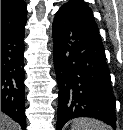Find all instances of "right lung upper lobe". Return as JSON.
I'll return each mask as SVG.
<instances>
[{
    "label": "right lung upper lobe",
    "mask_w": 123,
    "mask_h": 130,
    "mask_svg": "<svg viewBox=\"0 0 123 130\" xmlns=\"http://www.w3.org/2000/svg\"><path fill=\"white\" fill-rule=\"evenodd\" d=\"M27 22V8L23 0H1V28L17 27Z\"/></svg>",
    "instance_id": "obj_1"
}]
</instances>
